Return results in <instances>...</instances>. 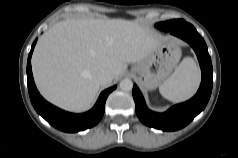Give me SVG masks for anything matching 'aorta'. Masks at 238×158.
I'll return each mask as SVG.
<instances>
[{
    "instance_id": "aorta-1",
    "label": "aorta",
    "mask_w": 238,
    "mask_h": 158,
    "mask_svg": "<svg viewBox=\"0 0 238 158\" xmlns=\"http://www.w3.org/2000/svg\"><path fill=\"white\" fill-rule=\"evenodd\" d=\"M120 88L123 91H131L133 88V82L130 79L125 78L120 82Z\"/></svg>"
}]
</instances>
